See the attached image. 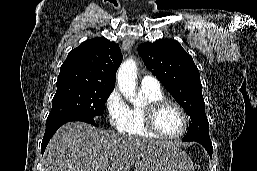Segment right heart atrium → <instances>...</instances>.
<instances>
[{"instance_id":"1","label":"right heart atrium","mask_w":257,"mask_h":171,"mask_svg":"<svg viewBox=\"0 0 257 171\" xmlns=\"http://www.w3.org/2000/svg\"><path fill=\"white\" fill-rule=\"evenodd\" d=\"M105 109L110 125L120 131L126 122L128 105L118 89L112 90L107 96Z\"/></svg>"}]
</instances>
